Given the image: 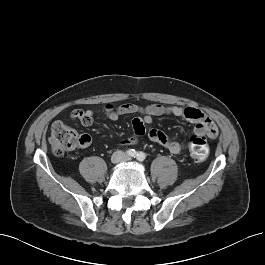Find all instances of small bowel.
Instances as JSON below:
<instances>
[{"label": "small bowel", "mask_w": 265, "mask_h": 265, "mask_svg": "<svg viewBox=\"0 0 265 265\" xmlns=\"http://www.w3.org/2000/svg\"><path fill=\"white\" fill-rule=\"evenodd\" d=\"M103 113L111 121H116L123 115H140L132 120L134 136L120 139L118 141L120 145H135L139 142L141 137L147 135L152 142L162 145L172 154H180L184 149L183 144L171 139L161 130H146V125L152 122L153 117L162 115H174L195 123V132L198 135L207 136L209 138H215L218 135V129L215 123L204 112L193 107L160 104L139 106L133 103H126L115 107L111 104H107L103 109ZM93 115L94 113L91 110H74L72 112V118L78 120L84 126L92 125ZM90 143V136L86 134L82 135V146H89Z\"/></svg>", "instance_id": "1"}]
</instances>
